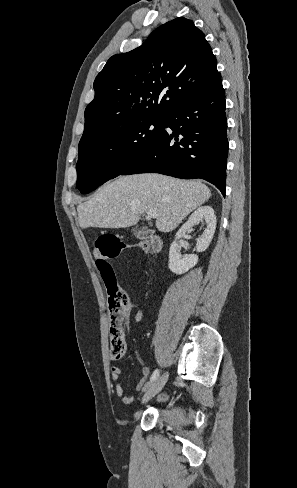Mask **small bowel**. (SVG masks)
I'll return each mask as SVG.
<instances>
[{"instance_id": "obj_1", "label": "small bowel", "mask_w": 297, "mask_h": 488, "mask_svg": "<svg viewBox=\"0 0 297 488\" xmlns=\"http://www.w3.org/2000/svg\"><path fill=\"white\" fill-rule=\"evenodd\" d=\"M130 309L135 310L134 314V320L136 323H140L143 319V313L141 310L137 309V306L135 304H131ZM122 373V370L119 366L113 365L110 368V374H111V379L114 384V389L117 394V396L121 399V401L124 404H131L134 401V397L130 395H126L124 393V389L120 383V375ZM150 374V369L148 367H143L141 369V377L136 385V390L137 391H144L148 387V377Z\"/></svg>"}]
</instances>
